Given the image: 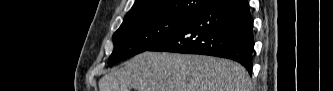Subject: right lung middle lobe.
Wrapping results in <instances>:
<instances>
[{
    "label": "right lung middle lobe",
    "mask_w": 333,
    "mask_h": 91,
    "mask_svg": "<svg viewBox=\"0 0 333 91\" xmlns=\"http://www.w3.org/2000/svg\"><path fill=\"white\" fill-rule=\"evenodd\" d=\"M216 0H205L202 7L207 8ZM192 16L152 15L138 17L123 22L113 35L114 50L109 57L108 65L151 49L165 40L184 25Z\"/></svg>",
    "instance_id": "obj_1"
}]
</instances>
